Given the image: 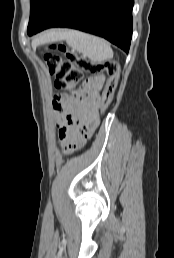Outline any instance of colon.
Listing matches in <instances>:
<instances>
[{"label":"colon","mask_w":174,"mask_h":258,"mask_svg":"<svg viewBox=\"0 0 174 258\" xmlns=\"http://www.w3.org/2000/svg\"><path fill=\"white\" fill-rule=\"evenodd\" d=\"M44 61L55 78V86L65 89L69 95L76 94V86L81 82L85 73L106 72L107 85L102 93L100 108H109L118 84L119 62L113 59L97 63L77 55L69 47L60 44L50 47L44 54Z\"/></svg>","instance_id":"obj_1"}]
</instances>
